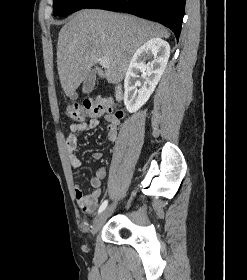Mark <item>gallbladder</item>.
Returning <instances> with one entry per match:
<instances>
[{
  "label": "gallbladder",
  "instance_id": "gallbladder-1",
  "mask_svg": "<svg viewBox=\"0 0 247 280\" xmlns=\"http://www.w3.org/2000/svg\"><path fill=\"white\" fill-rule=\"evenodd\" d=\"M95 80H96V71L91 70L86 77L85 81L83 82L82 92L84 94H88L93 91L95 86ZM71 99H76V95L74 94Z\"/></svg>",
  "mask_w": 247,
  "mask_h": 280
}]
</instances>
